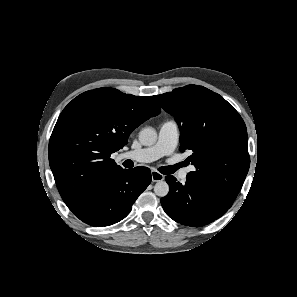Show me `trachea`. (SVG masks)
Masks as SVG:
<instances>
[{
  "instance_id": "trachea-1",
  "label": "trachea",
  "mask_w": 297,
  "mask_h": 297,
  "mask_svg": "<svg viewBox=\"0 0 297 297\" xmlns=\"http://www.w3.org/2000/svg\"><path fill=\"white\" fill-rule=\"evenodd\" d=\"M180 167H182V164L179 163V164H176V165H171V166H164V167H161L159 169V171L163 174H172L174 173L177 169H179Z\"/></svg>"
}]
</instances>
